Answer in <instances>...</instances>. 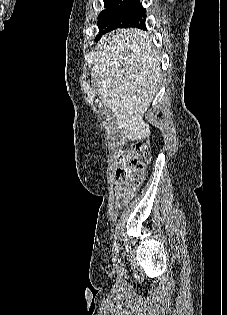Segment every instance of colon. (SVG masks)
<instances>
[{
    "label": "colon",
    "instance_id": "5ec220e1",
    "mask_svg": "<svg viewBox=\"0 0 227 315\" xmlns=\"http://www.w3.org/2000/svg\"><path fill=\"white\" fill-rule=\"evenodd\" d=\"M123 161L122 167L117 171L119 179L125 181L133 188L142 185L145 177V169L150 162V151L145 144H136L127 152L119 154Z\"/></svg>",
    "mask_w": 227,
    "mask_h": 315
}]
</instances>
